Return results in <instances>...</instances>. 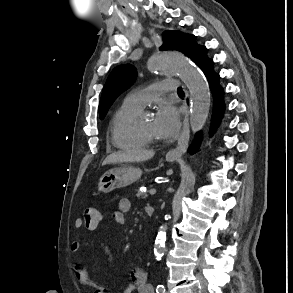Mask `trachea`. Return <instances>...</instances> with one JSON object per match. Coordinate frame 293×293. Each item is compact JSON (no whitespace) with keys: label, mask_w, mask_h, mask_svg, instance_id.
Returning <instances> with one entry per match:
<instances>
[{"label":"trachea","mask_w":293,"mask_h":293,"mask_svg":"<svg viewBox=\"0 0 293 293\" xmlns=\"http://www.w3.org/2000/svg\"><path fill=\"white\" fill-rule=\"evenodd\" d=\"M178 93H183V90L181 88L178 89Z\"/></svg>","instance_id":"obj_1"}]
</instances>
